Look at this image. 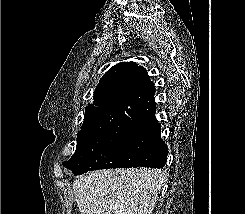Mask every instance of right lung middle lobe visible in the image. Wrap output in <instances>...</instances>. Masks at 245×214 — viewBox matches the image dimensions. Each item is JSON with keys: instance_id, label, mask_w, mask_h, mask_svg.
<instances>
[{"instance_id": "right-lung-middle-lobe-1", "label": "right lung middle lobe", "mask_w": 245, "mask_h": 214, "mask_svg": "<svg viewBox=\"0 0 245 214\" xmlns=\"http://www.w3.org/2000/svg\"><path fill=\"white\" fill-rule=\"evenodd\" d=\"M127 137V128H117L101 135H78L76 151L63 165L75 175L91 170L116 168L120 162L117 147Z\"/></svg>"}]
</instances>
